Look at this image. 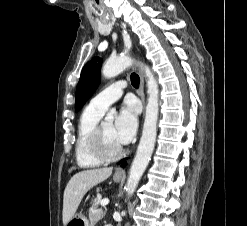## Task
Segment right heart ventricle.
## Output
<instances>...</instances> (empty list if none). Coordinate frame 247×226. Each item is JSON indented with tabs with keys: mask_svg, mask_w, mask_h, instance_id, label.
<instances>
[{
	"mask_svg": "<svg viewBox=\"0 0 247 226\" xmlns=\"http://www.w3.org/2000/svg\"><path fill=\"white\" fill-rule=\"evenodd\" d=\"M103 113L87 106L80 116L75 145L76 162L81 168H94L102 162L90 151L89 140L92 131L99 123Z\"/></svg>",
	"mask_w": 247,
	"mask_h": 226,
	"instance_id": "obj_1",
	"label": "right heart ventricle"
}]
</instances>
